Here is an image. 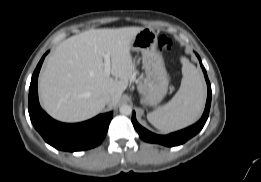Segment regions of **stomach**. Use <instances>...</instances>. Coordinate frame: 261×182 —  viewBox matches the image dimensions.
<instances>
[{
	"label": "stomach",
	"instance_id": "stomach-1",
	"mask_svg": "<svg viewBox=\"0 0 261 182\" xmlns=\"http://www.w3.org/2000/svg\"><path fill=\"white\" fill-rule=\"evenodd\" d=\"M131 50L142 55L145 71L144 87L140 91L141 103L155 106L162 101L168 91L169 77L164 59L157 49V33L145 27L134 37Z\"/></svg>",
	"mask_w": 261,
	"mask_h": 182
}]
</instances>
